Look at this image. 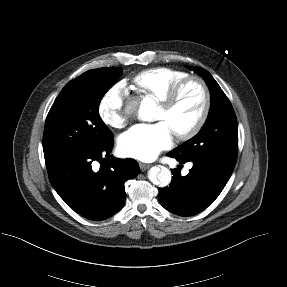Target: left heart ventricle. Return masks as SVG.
Wrapping results in <instances>:
<instances>
[{
	"label": "left heart ventricle",
	"mask_w": 287,
	"mask_h": 287,
	"mask_svg": "<svg viewBox=\"0 0 287 287\" xmlns=\"http://www.w3.org/2000/svg\"><path fill=\"white\" fill-rule=\"evenodd\" d=\"M203 100L201 88L196 83H192L185 88L172 111L165 112L159 107L155 119L164 122L172 133L185 131L199 118Z\"/></svg>",
	"instance_id": "b2bd125f"
}]
</instances>
